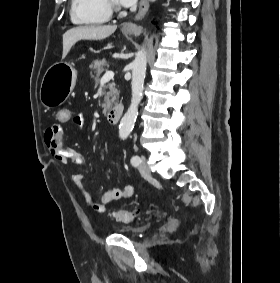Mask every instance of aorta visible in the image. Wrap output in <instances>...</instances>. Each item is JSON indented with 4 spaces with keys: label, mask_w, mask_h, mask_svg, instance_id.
Wrapping results in <instances>:
<instances>
[{
    "label": "aorta",
    "mask_w": 280,
    "mask_h": 283,
    "mask_svg": "<svg viewBox=\"0 0 280 283\" xmlns=\"http://www.w3.org/2000/svg\"><path fill=\"white\" fill-rule=\"evenodd\" d=\"M155 1V0H150ZM147 67V53L144 49L137 52L132 62L131 104L120 121L119 137L126 139L131 133L138 115V106L143 97V86Z\"/></svg>",
    "instance_id": "obj_1"
}]
</instances>
